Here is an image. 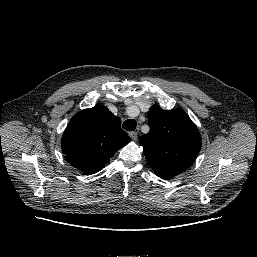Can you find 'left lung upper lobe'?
<instances>
[{
    "mask_svg": "<svg viewBox=\"0 0 257 257\" xmlns=\"http://www.w3.org/2000/svg\"><path fill=\"white\" fill-rule=\"evenodd\" d=\"M150 131L140 138L144 154L156 175L170 179L187 170L201 148V136L181 109L163 110L158 105L148 112Z\"/></svg>",
    "mask_w": 257,
    "mask_h": 257,
    "instance_id": "obj_1",
    "label": "left lung upper lobe"
}]
</instances>
